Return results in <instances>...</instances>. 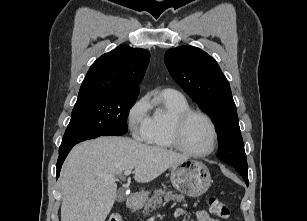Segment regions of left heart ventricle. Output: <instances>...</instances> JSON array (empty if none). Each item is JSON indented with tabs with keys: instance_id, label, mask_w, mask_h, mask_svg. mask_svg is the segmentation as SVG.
Segmentation results:
<instances>
[{
	"instance_id": "obj_1",
	"label": "left heart ventricle",
	"mask_w": 307,
	"mask_h": 221,
	"mask_svg": "<svg viewBox=\"0 0 307 221\" xmlns=\"http://www.w3.org/2000/svg\"><path fill=\"white\" fill-rule=\"evenodd\" d=\"M182 140L193 152L207 151L212 143V131L208 122L201 116H193L185 126Z\"/></svg>"
}]
</instances>
